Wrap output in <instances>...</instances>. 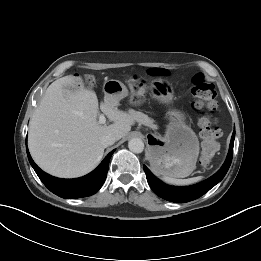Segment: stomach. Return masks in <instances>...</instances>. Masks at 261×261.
<instances>
[{"label": "stomach", "mask_w": 261, "mask_h": 261, "mask_svg": "<svg viewBox=\"0 0 261 261\" xmlns=\"http://www.w3.org/2000/svg\"><path fill=\"white\" fill-rule=\"evenodd\" d=\"M152 95L162 103L173 99V87L165 79H156L150 84ZM105 98L114 104L128 96L127 87L118 80L104 84ZM141 95L132 93L130 103L140 105ZM169 123L164 137L148 135V159L152 169L162 175L175 178L189 176L196 168L199 155V141L195 132L187 125L183 112L172 109L166 114Z\"/></svg>", "instance_id": "stomach-1"}]
</instances>
